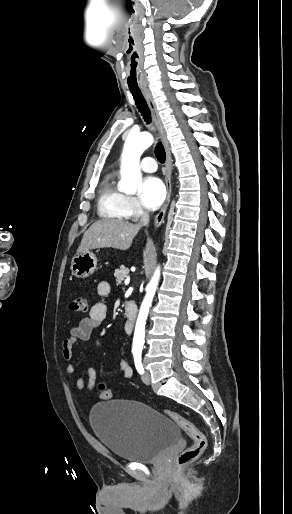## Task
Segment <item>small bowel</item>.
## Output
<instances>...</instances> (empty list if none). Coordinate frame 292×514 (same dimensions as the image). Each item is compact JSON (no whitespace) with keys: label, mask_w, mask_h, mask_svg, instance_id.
<instances>
[{"label":"small bowel","mask_w":292,"mask_h":514,"mask_svg":"<svg viewBox=\"0 0 292 514\" xmlns=\"http://www.w3.org/2000/svg\"><path fill=\"white\" fill-rule=\"evenodd\" d=\"M111 292L110 284L107 281H100L97 284V293L101 297L108 296ZM107 318V307L105 303L96 302L90 309L89 314L82 318L70 329V334L62 343V354L67 361L66 372L75 380V385L79 390L92 391L97 374L94 368H88L84 374L77 371L78 359L74 356V346L79 342L88 341L94 329L101 327ZM118 368L124 379L133 377V370L125 360H121Z\"/></svg>","instance_id":"1"}]
</instances>
